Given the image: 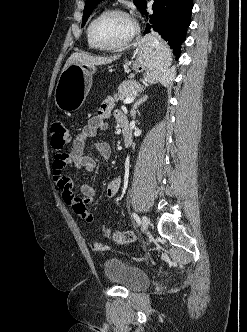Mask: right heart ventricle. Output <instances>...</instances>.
Listing matches in <instances>:
<instances>
[{
    "label": "right heart ventricle",
    "mask_w": 247,
    "mask_h": 332,
    "mask_svg": "<svg viewBox=\"0 0 247 332\" xmlns=\"http://www.w3.org/2000/svg\"><path fill=\"white\" fill-rule=\"evenodd\" d=\"M88 28H89V25H88L87 30H86L87 44H88L89 48L97 49V47L93 44V42L91 41V39L89 37Z\"/></svg>",
    "instance_id": "obj_1"
}]
</instances>
